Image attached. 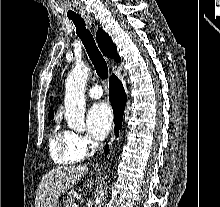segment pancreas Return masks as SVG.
<instances>
[{"label":"pancreas","instance_id":"obj_1","mask_svg":"<svg viewBox=\"0 0 220 207\" xmlns=\"http://www.w3.org/2000/svg\"><path fill=\"white\" fill-rule=\"evenodd\" d=\"M74 199L72 196H68L66 200V207H73Z\"/></svg>","mask_w":220,"mask_h":207}]
</instances>
